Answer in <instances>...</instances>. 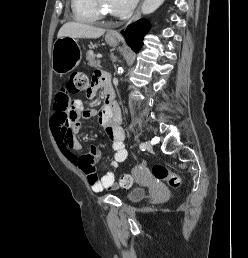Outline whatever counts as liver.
I'll list each match as a JSON object with an SVG mask.
<instances>
[{"mask_svg": "<svg viewBox=\"0 0 248 258\" xmlns=\"http://www.w3.org/2000/svg\"><path fill=\"white\" fill-rule=\"evenodd\" d=\"M105 33V29L93 27L90 25L67 22L59 30L57 37H71V38H99Z\"/></svg>", "mask_w": 248, "mask_h": 258, "instance_id": "1", "label": "liver"}]
</instances>
